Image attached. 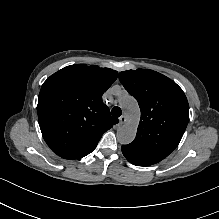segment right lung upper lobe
<instances>
[{
    "instance_id": "obj_1",
    "label": "right lung upper lobe",
    "mask_w": 219,
    "mask_h": 219,
    "mask_svg": "<svg viewBox=\"0 0 219 219\" xmlns=\"http://www.w3.org/2000/svg\"><path fill=\"white\" fill-rule=\"evenodd\" d=\"M117 75L109 68L77 64L59 70L44 82L38 98V120L53 152L65 159H80L118 123L102 101Z\"/></svg>"
}]
</instances>
